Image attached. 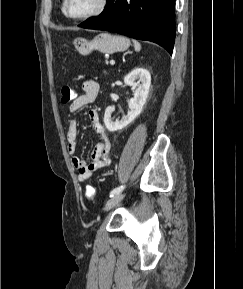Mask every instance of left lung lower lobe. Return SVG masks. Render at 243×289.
Returning a JSON list of instances; mask_svg holds the SVG:
<instances>
[{
	"mask_svg": "<svg viewBox=\"0 0 243 289\" xmlns=\"http://www.w3.org/2000/svg\"><path fill=\"white\" fill-rule=\"evenodd\" d=\"M151 41L170 54L175 40V0H107L103 12L79 25Z\"/></svg>",
	"mask_w": 243,
	"mask_h": 289,
	"instance_id": "left-lung-lower-lobe-1",
	"label": "left lung lower lobe"
}]
</instances>
